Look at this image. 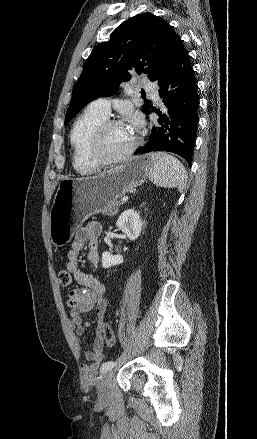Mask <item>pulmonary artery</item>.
<instances>
[{"label":"pulmonary artery","instance_id":"obj_1","mask_svg":"<svg viewBox=\"0 0 257 439\" xmlns=\"http://www.w3.org/2000/svg\"><path fill=\"white\" fill-rule=\"evenodd\" d=\"M145 90L155 102L160 101L158 87L155 83L147 82L145 84ZM89 109L107 117L110 114V101L106 98L96 99L89 104Z\"/></svg>","mask_w":257,"mask_h":439}]
</instances>
